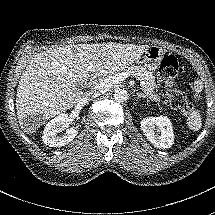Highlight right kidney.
Here are the masks:
<instances>
[{
	"mask_svg": "<svg viewBox=\"0 0 215 215\" xmlns=\"http://www.w3.org/2000/svg\"><path fill=\"white\" fill-rule=\"evenodd\" d=\"M68 126V114L66 113H61L50 120L43 130L42 140L44 144L50 147H62L73 141L78 130L75 127L68 128ZM65 128H67L66 132L59 135Z\"/></svg>",
	"mask_w": 215,
	"mask_h": 215,
	"instance_id": "1",
	"label": "right kidney"
}]
</instances>
